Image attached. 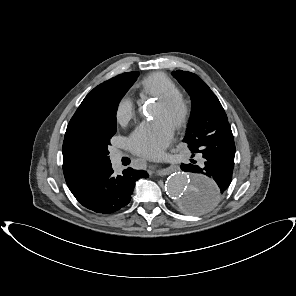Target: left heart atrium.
<instances>
[{
  "mask_svg": "<svg viewBox=\"0 0 296 296\" xmlns=\"http://www.w3.org/2000/svg\"><path fill=\"white\" fill-rule=\"evenodd\" d=\"M173 126L162 118L141 123L130 134L128 144L137 155L154 158L170 143Z\"/></svg>",
  "mask_w": 296,
  "mask_h": 296,
  "instance_id": "left-heart-atrium-1",
  "label": "left heart atrium"
}]
</instances>
